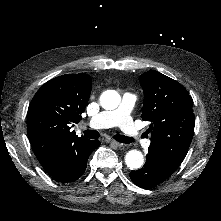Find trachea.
<instances>
[{
  "label": "trachea",
  "instance_id": "3493384b",
  "mask_svg": "<svg viewBox=\"0 0 221 221\" xmlns=\"http://www.w3.org/2000/svg\"><path fill=\"white\" fill-rule=\"evenodd\" d=\"M83 133H84V136L89 139H98L100 137L99 132L96 130H85ZM113 138L120 143H126V144L133 143L135 141V139L132 137H128V136H124L120 134L114 135Z\"/></svg>",
  "mask_w": 221,
  "mask_h": 221
}]
</instances>
